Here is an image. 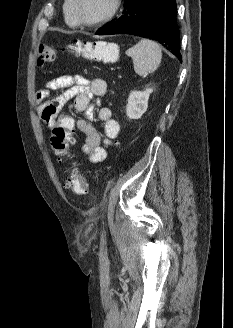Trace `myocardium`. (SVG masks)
<instances>
[{"label": "myocardium", "mask_w": 233, "mask_h": 328, "mask_svg": "<svg viewBox=\"0 0 233 328\" xmlns=\"http://www.w3.org/2000/svg\"><path fill=\"white\" fill-rule=\"evenodd\" d=\"M121 5H122V0H113L112 7H111L109 13L105 17H103L100 20L95 21V22H88V21H85L80 15V10H79L80 0H74V14H75L77 23L79 25L85 26V27H91V28L98 27V26H101V25L111 21L119 12Z\"/></svg>", "instance_id": "obj_1"}]
</instances>
